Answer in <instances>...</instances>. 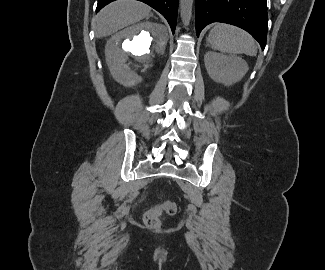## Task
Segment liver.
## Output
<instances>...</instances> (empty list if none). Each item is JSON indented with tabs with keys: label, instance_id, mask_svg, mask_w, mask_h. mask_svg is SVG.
I'll return each mask as SVG.
<instances>
[{
	"label": "liver",
	"instance_id": "liver-1",
	"mask_svg": "<svg viewBox=\"0 0 325 270\" xmlns=\"http://www.w3.org/2000/svg\"><path fill=\"white\" fill-rule=\"evenodd\" d=\"M151 8L135 0H118L105 6L95 17L97 38L106 37L149 16Z\"/></svg>",
	"mask_w": 325,
	"mask_h": 270
}]
</instances>
